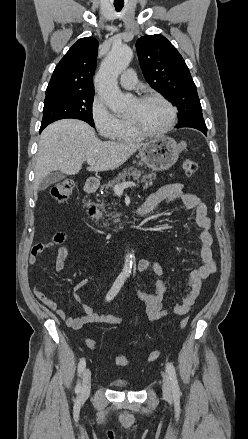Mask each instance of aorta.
Masks as SVG:
<instances>
[{"label":"aorta","instance_id":"1","mask_svg":"<svg viewBox=\"0 0 248 439\" xmlns=\"http://www.w3.org/2000/svg\"><path fill=\"white\" fill-rule=\"evenodd\" d=\"M133 57V51L126 45L113 46L102 62L96 75V85L99 95L114 113L127 111L131 97L123 94L117 85L118 76L125 70ZM132 255L125 256L123 274L130 275L132 271Z\"/></svg>","mask_w":248,"mask_h":439}]
</instances>
